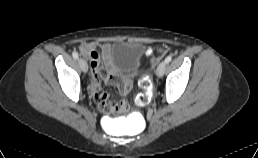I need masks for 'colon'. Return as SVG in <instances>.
I'll return each instance as SVG.
<instances>
[{"mask_svg": "<svg viewBox=\"0 0 258 158\" xmlns=\"http://www.w3.org/2000/svg\"><path fill=\"white\" fill-rule=\"evenodd\" d=\"M152 51H147V55H150ZM139 86L141 88V92L137 95L136 102L140 106H145L149 103L150 101V96H151V88L152 84L150 80L147 77H143L140 82ZM127 108V105L125 102H120V103H107L103 110L105 112H112L114 110H124Z\"/></svg>", "mask_w": 258, "mask_h": 158, "instance_id": "colon-1", "label": "colon"}]
</instances>
